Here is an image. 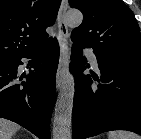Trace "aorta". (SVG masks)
Masks as SVG:
<instances>
[{"instance_id": "aorta-1", "label": "aorta", "mask_w": 141, "mask_h": 139, "mask_svg": "<svg viewBox=\"0 0 141 139\" xmlns=\"http://www.w3.org/2000/svg\"><path fill=\"white\" fill-rule=\"evenodd\" d=\"M65 20L69 26H79L82 23L83 15L78 10H70L67 12ZM74 93V77L70 72H67L55 105L53 139H71Z\"/></svg>"}]
</instances>
